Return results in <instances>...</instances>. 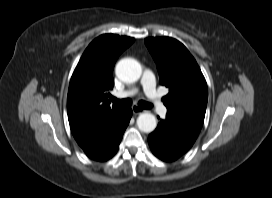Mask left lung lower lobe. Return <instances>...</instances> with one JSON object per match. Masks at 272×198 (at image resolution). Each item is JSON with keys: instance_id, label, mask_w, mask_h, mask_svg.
I'll use <instances>...</instances> for the list:
<instances>
[{"instance_id": "obj_1", "label": "left lung lower lobe", "mask_w": 272, "mask_h": 198, "mask_svg": "<svg viewBox=\"0 0 272 198\" xmlns=\"http://www.w3.org/2000/svg\"><path fill=\"white\" fill-rule=\"evenodd\" d=\"M203 123L167 112L166 119L148 137L154 155L174 161L186 153L197 139Z\"/></svg>"}]
</instances>
